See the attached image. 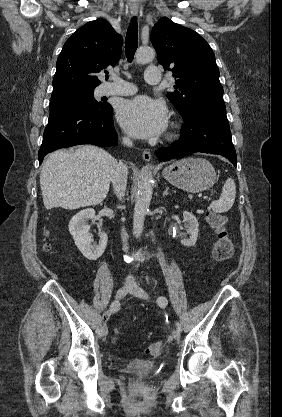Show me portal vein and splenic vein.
<instances>
[{"label":"portal vein and splenic vein","mask_w":282,"mask_h":417,"mask_svg":"<svg viewBox=\"0 0 282 417\" xmlns=\"http://www.w3.org/2000/svg\"><path fill=\"white\" fill-rule=\"evenodd\" d=\"M197 198L204 197L206 201H213L214 197L211 194H205L204 192H197Z\"/></svg>","instance_id":"1"}]
</instances>
